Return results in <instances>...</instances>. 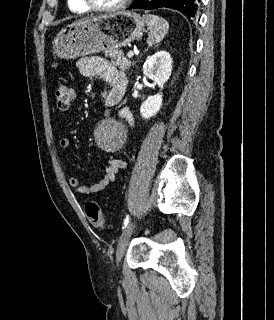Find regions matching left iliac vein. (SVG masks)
<instances>
[{"mask_svg":"<svg viewBox=\"0 0 274 320\" xmlns=\"http://www.w3.org/2000/svg\"><path fill=\"white\" fill-rule=\"evenodd\" d=\"M133 228H134V222H130L126 226L125 230L123 231V233L120 236V239H119V242H118V246H117V250H116V262H117V264L120 263L123 255H124V253L126 251V248H127L129 239L131 237Z\"/></svg>","mask_w":274,"mask_h":320,"instance_id":"obj_1","label":"left iliac vein"}]
</instances>
